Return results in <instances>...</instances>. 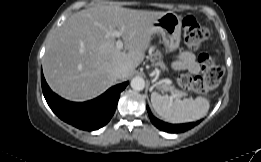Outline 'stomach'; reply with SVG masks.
I'll list each match as a JSON object with an SVG mask.
<instances>
[{"label": "stomach", "mask_w": 261, "mask_h": 162, "mask_svg": "<svg viewBox=\"0 0 261 162\" xmlns=\"http://www.w3.org/2000/svg\"><path fill=\"white\" fill-rule=\"evenodd\" d=\"M181 17L173 12H166L151 25L152 34H160L169 52L175 51L181 40Z\"/></svg>", "instance_id": "stomach-1"}]
</instances>
